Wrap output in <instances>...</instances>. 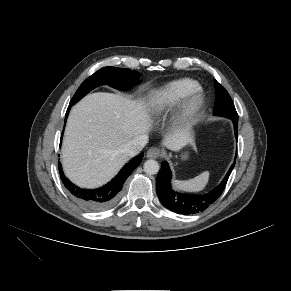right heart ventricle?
I'll return each instance as SVG.
<instances>
[{"label":"right heart ventricle","mask_w":291,"mask_h":291,"mask_svg":"<svg viewBox=\"0 0 291 291\" xmlns=\"http://www.w3.org/2000/svg\"><path fill=\"white\" fill-rule=\"evenodd\" d=\"M199 88V83L191 78L171 81L154 92L152 96V111L157 115L169 111Z\"/></svg>","instance_id":"1"}]
</instances>
